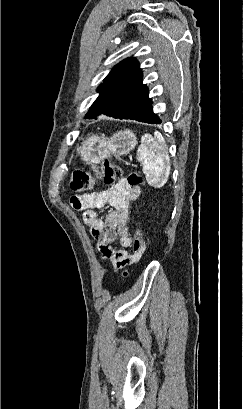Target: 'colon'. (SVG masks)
Masks as SVG:
<instances>
[{
    "instance_id": "obj_1",
    "label": "colon",
    "mask_w": 243,
    "mask_h": 409,
    "mask_svg": "<svg viewBox=\"0 0 243 409\" xmlns=\"http://www.w3.org/2000/svg\"><path fill=\"white\" fill-rule=\"evenodd\" d=\"M122 174V169L117 164L106 161L93 165L90 170H75L71 175L69 187L74 192H85L93 187L96 178H102L105 183L113 185L121 179ZM126 181L131 187H139L142 183V176L138 172L132 171L128 174ZM144 242L145 239L139 226L132 241V252L141 253ZM123 274L128 276V271H124Z\"/></svg>"
}]
</instances>
